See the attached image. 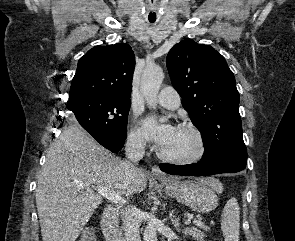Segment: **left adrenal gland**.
<instances>
[{
	"label": "left adrenal gland",
	"instance_id": "obj_1",
	"mask_svg": "<svg viewBox=\"0 0 295 241\" xmlns=\"http://www.w3.org/2000/svg\"><path fill=\"white\" fill-rule=\"evenodd\" d=\"M170 220H171L172 224L174 225L175 229L180 231V223H179L180 219L176 218L173 210L170 213Z\"/></svg>",
	"mask_w": 295,
	"mask_h": 241
}]
</instances>
